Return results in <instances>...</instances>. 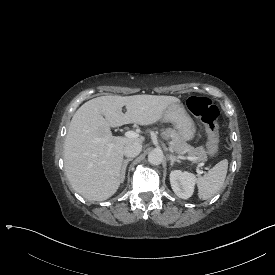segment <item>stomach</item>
<instances>
[{
    "instance_id": "stomach-1",
    "label": "stomach",
    "mask_w": 275,
    "mask_h": 275,
    "mask_svg": "<svg viewBox=\"0 0 275 275\" xmlns=\"http://www.w3.org/2000/svg\"><path fill=\"white\" fill-rule=\"evenodd\" d=\"M162 121L172 123L185 141L191 140L195 136L196 127L194 121L180 103L170 104L163 112Z\"/></svg>"
}]
</instances>
